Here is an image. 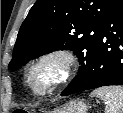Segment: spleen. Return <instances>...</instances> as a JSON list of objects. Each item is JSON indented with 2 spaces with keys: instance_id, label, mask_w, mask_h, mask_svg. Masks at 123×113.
Masks as SVG:
<instances>
[{
  "instance_id": "obj_1",
  "label": "spleen",
  "mask_w": 123,
  "mask_h": 113,
  "mask_svg": "<svg viewBox=\"0 0 123 113\" xmlns=\"http://www.w3.org/2000/svg\"><path fill=\"white\" fill-rule=\"evenodd\" d=\"M91 96L100 98L105 102V113H123V87H101L95 89Z\"/></svg>"
}]
</instances>
